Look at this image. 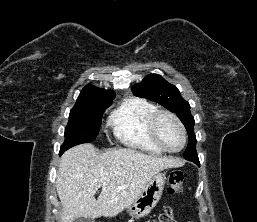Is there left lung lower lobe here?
I'll return each mask as SVG.
<instances>
[{
    "label": "left lung lower lobe",
    "mask_w": 257,
    "mask_h": 222,
    "mask_svg": "<svg viewBox=\"0 0 257 222\" xmlns=\"http://www.w3.org/2000/svg\"><path fill=\"white\" fill-rule=\"evenodd\" d=\"M195 163H196L198 166L200 165L199 161H196Z\"/></svg>",
    "instance_id": "1"
}]
</instances>
